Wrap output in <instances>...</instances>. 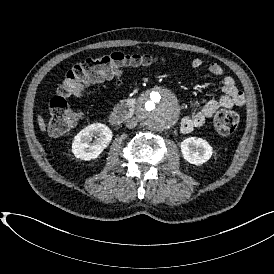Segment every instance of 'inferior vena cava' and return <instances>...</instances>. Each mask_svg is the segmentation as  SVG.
I'll use <instances>...</instances> for the list:
<instances>
[{"mask_svg": "<svg viewBox=\"0 0 274 274\" xmlns=\"http://www.w3.org/2000/svg\"><path fill=\"white\" fill-rule=\"evenodd\" d=\"M138 119L135 117L129 118L125 121L126 127L132 129L137 126Z\"/></svg>", "mask_w": 274, "mask_h": 274, "instance_id": "1", "label": "inferior vena cava"}]
</instances>
